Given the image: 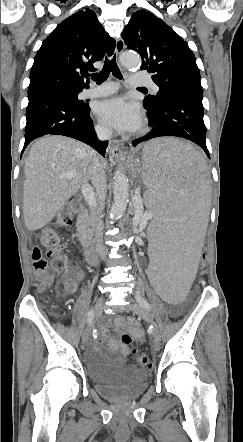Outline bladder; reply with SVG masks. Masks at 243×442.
Wrapping results in <instances>:
<instances>
[{
    "label": "bladder",
    "mask_w": 243,
    "mask_h": 442,
    "mask_svg": "<svg viewBox=\"0 0 243 442\" xmlns=\"http://www.w3.org/2000/svg\"><path fill=\"white\" fill-rule=\"evenodd\" d=\"M87 375L95 391L111 401H127L139 397L147 388L148 373L106 353L91 354L86 363Z\"/></svg>",
    "instance_id": "bladder-1"
}]
</instances>
